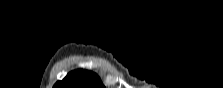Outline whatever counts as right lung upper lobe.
Returning <instances> with one entry per match:
<instances>
[{
	"label": "right lung upper lobe",
	"mask_w": 223,
	"mask_h": 88,
	"mask_svg": "<svg viewBox=\"0 0 223 88\" xmlns=\"http://www.w3.org/2000/svg\"><path fill=\"white\" fill-rule=\"evenodd\" d=\"M54 88H104V85L95 73L81 69L70 72Z\"/></svg>",
	"instance_id": "1"
}]
</instances>
